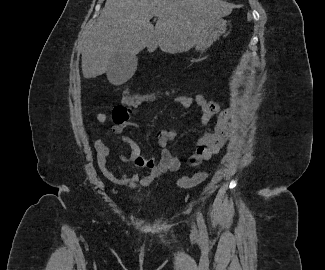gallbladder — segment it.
Returning a JSON list of instances; mask_svg holds the SVG:
<instances>
[{"instance_id":"obj_1","label":"gallbladder","mask_w":325,"mask_h":270,"mask_svg":"<svg viewBox=\"0 0 325 270\" xmlns=\"http://www.w3.org/2000/svg\"><path fill=\"white\" fill-rule=\"evenodd\" d=\"M111 68L107 72L109 75L119 77H130L137 68V58L127 53H119L110 59Z\"/></svg>"}]
</instances>
